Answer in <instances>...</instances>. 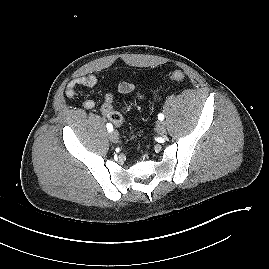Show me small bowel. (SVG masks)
Returning a JSON list of instances; mask_svg holds the SVG:
<instances>
[{
  "instance_id": "c3829d8e",
  "label": "small bowel",
  "mask_w": 269,
  "mask_h": 269,
  "mask_svg": "<svg viewBox=\"0 0 269 269\" xmlns=\"http://www.w3.org/2000/svg\"><path fill=\"white\" fill-rule=\"evenodd\" d=\"M97 84V78L94 75H87L83 77H78L71 80L65 90V94L67 97L72 98L76 95L77 89L80 86L84 87H94ZM117 90L121 94H130L134 92V85L130 82L124 81L120 82L117 86ZM96 106V101L93 99H88L83 102V107L86 109H93ZM102 113L106 116V112L104 107L101 108Z\"/></svg>"
}]
</instances>
